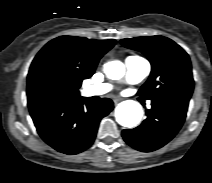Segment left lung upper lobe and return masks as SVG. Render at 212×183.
Wrapping results in <instances>:
<instances>
[{"label": "left lung upper lobe", "mask_w": 212, "mask_h": 183, "mask_svg": "<svg viewBox=\"0 0 212 183\" xmlns=\"http://www.w3.org/2000/svg\"><path fill=\"white\" fill-rule=\"evenodd\" d=\"M120 43L145 54L152 65L149 79L137 93L139 96L189 102L194 88L191 62L178 44L163 36L122 39Z\"/></svg>", "instance_id": "1"}]
</instances>
